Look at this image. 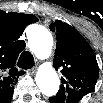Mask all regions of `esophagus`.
Instances as JSON below:
<instances>
[{
    "mask_svg": "<svg viewBox=\"0 0 103 103\" xmlns=\"http://www.w3.org/2000/svg\"><path fill=\"white\" fill-rule=\"evenodd\" d=\"M36 71H37V68H36V67H33V68H31L28 72H29L30 74H35Z\"/></svg>",
    "mask_w": 103,
    "mask_h": 103,
    "instance_id": "esophagus-1",
    "label": "esophagus"
}]
</instances>
